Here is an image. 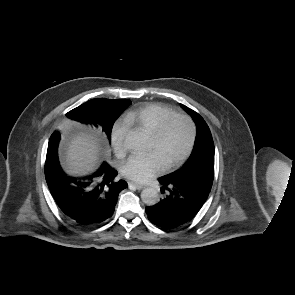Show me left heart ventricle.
<instances>
[{
	"label": "left heart ventricle",
	"mask_w": 295,
	"mask_h": 295,
	"mask_svg": "<svg viewBox=\"0 0 295 295\" xmlns=\"http://www.w3.org/2000/svg\"><path fill=\"white\" fill-rule=\"evenodd\" d=\"M190 137L188 124L175 120L168 127L160 141L150 140L149 150L156 152L164 165L176 160L186 149Z\"/></svg>",
	"instance_id": "left-heart-ventricle-1"
}]
</instances>
